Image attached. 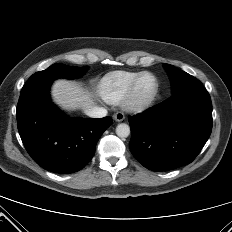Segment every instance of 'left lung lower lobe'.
<instances>
[{
    "instance_id": "0a47b994",
    "label": "left lung lower lobe",
    "mask_w": 232,
    "mask_h": 232,
    "mask_svg": "<svg viewBox=\"0 0 232 232\" xmlns=\"http://www.w3.org/2000/svg\"><path fill=\"white\" fill-rule=\"evenodd\" d=\"M130 150L152 171L191 163L212 130V103L202 84L185 88L164 102L130 117Z\"/></svg>"
}]
</instances>
